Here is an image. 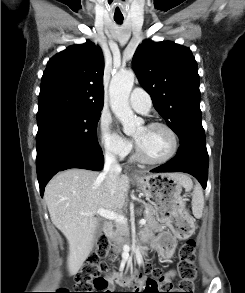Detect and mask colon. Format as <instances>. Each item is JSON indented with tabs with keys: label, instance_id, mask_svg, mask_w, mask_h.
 <instances>
[{
	"label": "colon",
	"instance_id": "1",
	"mask_svg": "<svg viewBox=\"0 0 245 293\" xmlns=\"http://www.w3.org/2000/svg\"><path fill=\"white\" fill-rule=\"evenodd\" d=\"M191 226V218L185 216L174 222L172 233L177 236H183L190 232ZM112 253L113 249L110 241L105 236L100 237L98 240L97 256L90 258L76 276V286L82 291L79 293H103L100 291L110 290L112 282L106 279L103 273L109 268L110 263L106 259H109ZM178 257V273L180 279L167 290L170 291L169 293H194V282L196 279V242L189 240L183 244L179 249ZM141 275L152 276L158 280L162 277V270L145 266ZM125 283L130 286H136L140 281L132 275H128L125 278ZM153 291L154 289L151 286H146L144 289V293H152Z\"/></svg>",
	"mask_w": 245,
	"mask_h": 293
}]
</instances>
